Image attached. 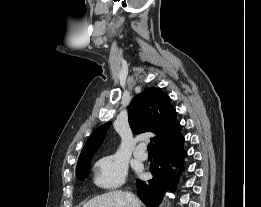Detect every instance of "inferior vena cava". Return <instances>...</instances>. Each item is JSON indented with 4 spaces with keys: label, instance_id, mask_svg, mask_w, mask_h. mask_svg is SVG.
<instances>
[{
    "label": "inferior vena cava",
    "instance_id": "1",
    "mask_svg": "<svg viewBox=\"0 0 261 207\" xmlns=\"http://www.w3.org/2000/svg\"><path fill=\"white\" fill-rule=\"evenodd\" d=\"M126 197L128 199V201L130 202V207H139V202L138 200L135 198L134 195L127 193Z\"/></svg>",
    "mask_w": 261,
    "mask_h": 207
}]
</instances>
